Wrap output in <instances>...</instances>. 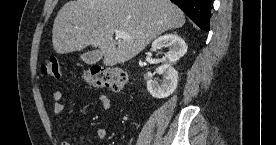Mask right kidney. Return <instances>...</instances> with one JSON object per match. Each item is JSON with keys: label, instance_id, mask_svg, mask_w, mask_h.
<instances>
[{"label": "right kidney", "instance_id": "right-kidney-1", "mask_svg": "<svg viewBox=\"0 0 276 145\" xmlns=\"http://www.w3.org/2000/svg\"><path fill=\"white\" fill-rule=\"evenodd\" d=\"M161 47H167L168 52L162 59H152V54L146 57L149 63H161L156 69L158 74L163 76L161 84L155 80L147 81V90L152 97L162 99L170 96L176 89L178 83V72L173 65L187 52L185 41L175 33L165 34L158 37L152 43V51Z\"/></svg>", "mask_w": 276, "mask_h": 145}]
</instances>
